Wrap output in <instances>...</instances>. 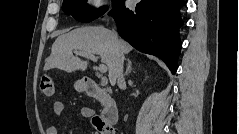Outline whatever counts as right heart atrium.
<instances>
[{
	"instance_id": "1",
	"label": "right heart atrium",
	"mask_w": 239,
	"mask_h": 134,
	"mask_svg": "<svg viewBox=\"0 0 239 134\" xmlns=\"http://www.w3.org/2000/svg\"><path fill=\"white\" fill-rule=\"evenodd\" d=\"M90 7H91L92 10H94L96 12H99V11L104 9L105 1H103V0H94V1L91 2Z\"/></svg>"
}]
</instances>
